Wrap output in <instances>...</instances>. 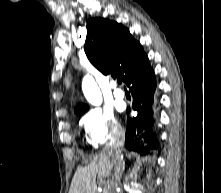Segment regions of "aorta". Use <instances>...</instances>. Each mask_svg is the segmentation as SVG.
<instances>
[{"instance_id":"obj_1","label":"aorta","mask_w":221,"mask_h":193,"mask_svg":"<svg viewBox=\"0 0 221 193\" xmlns=\"http://www.w3.org/2000/svg\"><path fill=\"white\" fill-rule=\"evenodd\" d=\"M82 90L87 101L94 105L99 106L102 103V94L94 79L87 75L82 81Z\"/></svg>"}]
</instances>
